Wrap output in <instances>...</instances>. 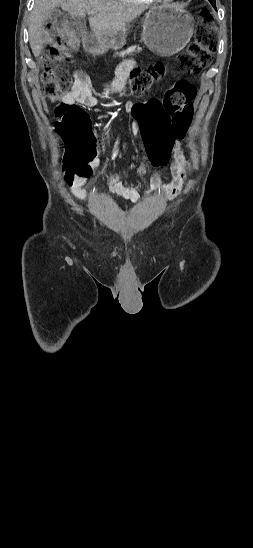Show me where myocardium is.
<instances>
[{
    "instance_id": "f54148a6",
    "label": "myocardium",
    "mask_w": 253,
    "mask_h": 548,
    "mask_svg": "<svg viewBox=\"0 0 253 548\" xmlns=\"http://www.w3.org/2000/svg\"><path fill=\"white\" fill-rule=\"evenodd\" d=\"M153 1L168 3V2H172L174 0H153Z\"/></svg>"
}]
</instances>
